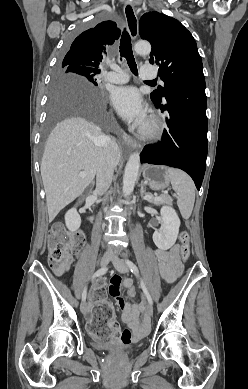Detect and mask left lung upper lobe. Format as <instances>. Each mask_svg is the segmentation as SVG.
Instances as JSON below:
<instances>
[{"mask_svg":"<svg viewBox=\"0 0 248 389\" xmlns=\"http://www.w3.org/2000/svg\"><path fill=\"white\" fill-rule=\"evenodd\" d=\"M139 33L150 42V63L159 66L158 73L164 81V86L151 94L154 103L161 102L182 83L205 80L195 39L178 20L156 11L145 13L140 19Z\"/></svg>","mask_w":248,"mask_h":389,"instance_id":"1","label":"left lung upper lobe"}]
</instances>
